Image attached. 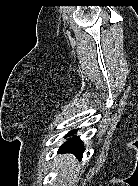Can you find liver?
I'll return each instance as SVG.
<instances>
[{
    "label": "liver",
    "mask_w": 138,
    "mask_h": 186,
    "mask_svg": "<svg viewBox=\"0 0 138 186\" xmlns=\"http://www.w3.org/2000/svg\"><path fill=\"white\" fill-rule=\"evenodd\" d=\"M58 161H59V167L64 172H68V170H70V171L73 170V168L75 166V158L71 154L63 155V156L59 157Z\"/></svg>",
    "instance_id": "1"
}]
</instances>
